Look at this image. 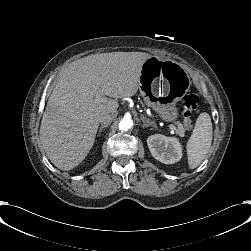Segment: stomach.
Masks as SVG:
<instances>
[{
  "label": "stomach",
  "instance_id": "0dacf381",
  "mask_svg": "<svg viewBox=\"0 0 251 251\" xmlns=\"http://www.w3.org/2000/svg\"><path fill=\"white\" fill-rule=\"evenodd\" d=\"M161 84V85H160ZM165 93L157 94V91ZM190 88L188 76L173 60H161L152 56L143 63L139 81L140 95L147 106L152 107L165 121H175L178 118L176 104Z\"/></svg>",
  "mask_w": 251,
  "mask_h": 251
}]
</instances>
